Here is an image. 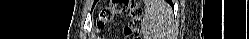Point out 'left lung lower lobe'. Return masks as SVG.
Masks as SVG:
<instances>
[{"mask_svg":"<svg viewBox=\"0 0 249 39\" xmlns=\"http://www.w3.org/2000/svg\"><path fill=\"white\" fill-rule=\"evenodd\" d=\"M168 2L172 5L171 1H168Z\"/></svg>","mask_w":249,"mask_h":39,"instance_id":"obj_1","label":"left lung lower lobe"}]
</instances>
